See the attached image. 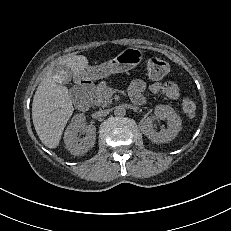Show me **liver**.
Instances as JSON below:
<instances>
[{
  "mask_svg": "<svg viewBox=\"0 0 231 231\" xmlns=\"http://www.w3.org/2000/svg\"><path fill=\"white\" fill-rule=\"evenodd\" d=\"M74 76L88 67V59L83 55H73L62 60ZM74 108L68 88L59 84L57 77L49 71L40 82L32 103V120L41 142L48 148H56L63 130L73 114Z\"/></svg>",
  "mask_w": 231,
  "mask_h": 231,
  "instance_id": "6515ba94",
  "label": "liver"
}]
</instances>
